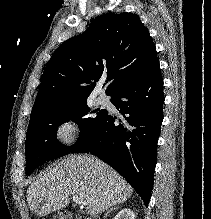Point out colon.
Wrapping results in <instances>:
<instances>
[{"label": "colon", "instance_id": "colon-1", "mask_svg": "<svg viewBox=\"0 0 211 219\" xmlns=\"http://www.w3.org/2000/svg\"><path fill=\"white\" fill-rule=\"evenodd\" d=\"M55 219H81V218L74 216L71 213L61 211V212H59L57 218H55ZM93 219H96V218H93Z\"/></svg>", "mask_w": 211, "mask_h": 219}]
</instances>
